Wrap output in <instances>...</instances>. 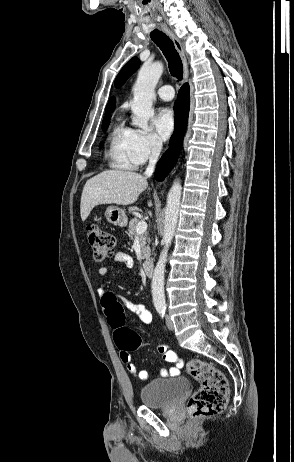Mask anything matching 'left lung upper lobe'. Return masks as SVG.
<instances>
[{
    "label": "left lung upper lobe",
    "mask_w": 294,
    "mask_h": 462,
    "mask_svg": "<svg viewBox=\"0 0 294 462\" xmlns=\"http://www.w3.org/2000/svg\"><path fill=\"white\" fill-rule=\"evenodd\" d=\"M139 66L140 61L137 57H133L129 62H127L115 80L116 87L122 86L126 79L133 74Z\"/></svg>",
    "instance_id": "obj_1"
}]
</instances>
